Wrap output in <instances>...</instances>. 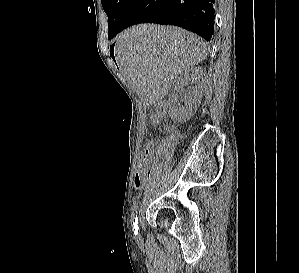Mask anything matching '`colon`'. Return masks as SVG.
<instances>
[{
    "label": "colon",
    "instance_id": "1",
    "mask_svg": "<svg viewBox=\"0 0 299 273\" xmlns=\"http://www.w3.org/2000/svg\"><path fill=\"white\" fill-rule=\"evenodd\" d=\"M152 149H153V142L150 140L146 141V143L144 145V151H143L145 156L150 154ZM148 175H149V171L147 169V163L143 159L142 162L139 164L135 178L137 179V181H139L142 178H146Z\"/></svg>",
    "mask_w": 299,
    "mask_h": 273
}]
</instances>
